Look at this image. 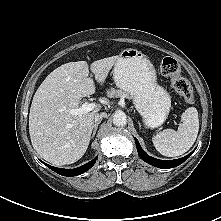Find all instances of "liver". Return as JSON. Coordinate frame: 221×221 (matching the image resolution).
I'll list each match as a JSON object with an SVG mask.
<instances>
[{"label":"liver","mask_w":221,"mask_h":221,"mask_svg":"<svg viewBox=\"0 0 221 221\" xmlns=\"http://www.w3.org/2000/svg\"><path fill=\"white\" fill-rule=\"evenodd\" d=\"M112 56L94 61L90 69L101 85L117 61ZM86 61L69 62L52 71L34 94L29 113L33 148L46 161L61 166L78 161L86 152L100 106L82 115H72L83 97L95 93Z\"/></svg>","instance_id":"obj_1"}]
</instances>
